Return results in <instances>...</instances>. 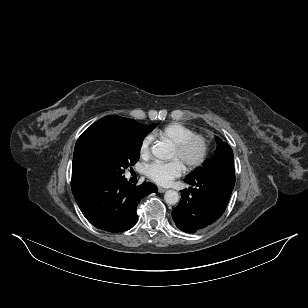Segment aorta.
<instances>
[{
    "mask_svg": "<svg viewBox=\"0 0 308 308\" xmlns=\"http://www.w3.org/2000/svg\"><path fill=\"white\" fill-rule=\"evenodd\" d=\"M152 154L160 160H167L172 157V149L168 144L159 142L152 147ZM164 200L167 204L174 205L179 201V194L174 190H168L164 195Z\"/></svg>",
    "mask_w": 308,
    "mask_h": 308,
    "instance_id": "1",
    "label": "aorta"
}]
</instances>
